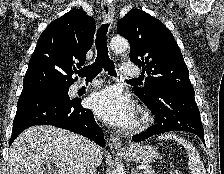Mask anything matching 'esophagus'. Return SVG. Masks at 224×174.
Listing matches in <instances>:
<instances>
[{"instance_id": "1", "label": "esophagus", "mask_w": 224, "mask_h": 174, "mask_svg": "<svg viewBox=\"0 0 224 174\" xmlns=\"http://www.w3.org/2000/svg\"><path fill=\"white\" fill-rule=\"evenodd\" d=\"M102 17L104 23L112 25L114 18V7L111 3L103 0L101 3ZM109 146L111 149H120L122 146L121 140L118 136L111 135L109 139Z\"/></svg>"}]
</instances>
